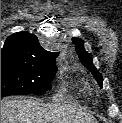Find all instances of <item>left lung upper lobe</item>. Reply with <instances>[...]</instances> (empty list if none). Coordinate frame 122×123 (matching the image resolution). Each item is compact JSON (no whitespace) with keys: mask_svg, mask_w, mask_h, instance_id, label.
Segmentation results:
<instances>
[{"mask_svg":"<svg viewBox=\"0 0 122 123\" xmlns=\"http://www.w3.org/2000/svg\"><path fill=\"white\" fill-rule=\"evenodd\" d=\"M72 41L75 45V49L79 56L80 61L82 62L84 66L88 68L89 71L92 72L98 84L100 85V87H102L103 77L100 73H98V70L93 65L92 57L89 53L85 51L83 42L78 38H72Z\"/></svg>","mask_w":122,"mask_h":123,"instance_id":"1","label":"left lung upper lobe"}]
</instances>
